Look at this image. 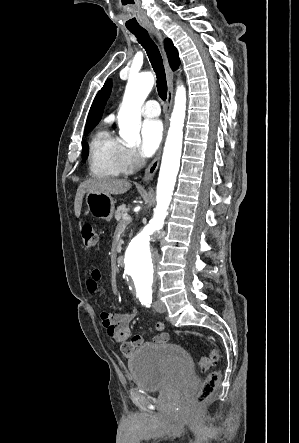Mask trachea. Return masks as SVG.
Listing matches in <instances>:
<instances>
[{
    "label": "trachea",
    "instance_id": "trachea-1",
    "mask_svg": "<svg viewBox=\"0 0 299 443\" xmlns=\"http://www.w3.org/2000/svg\"><path fill=\"white\" fill-rule=\"evenodd\" d=\"M130 32L136 36L138 42L146 50L152 68L156 73L158 95L163 101H165L167 98V81L163 60L157 45L149 37L148 32L145 29L130 30Z\"/></svg>",
    "mask_w": 299,
    "mask_h": 443
}]
</instances>
